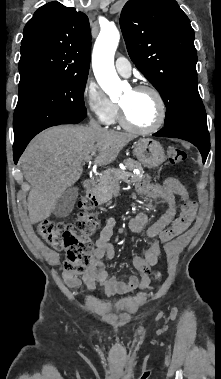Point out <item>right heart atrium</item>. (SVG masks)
Segmentation results:
<instances>
[{
	"instance_id": "1",
	"label": "right heart atrium",
	"mask_w": 221,
	"mask_h": 379,
	"mask_svg": "<svg viewBox=\"0 0 221 379\" xmlns=\"http://www.w3.org/2000/svg\"><path fill=\"white\" fill-rule=\"evenodd\" d=\"M83 100L88 112L103 124L111 123L117 115V105L92 79H88L85 83Z\"/></svg>"
}]
</instances>
